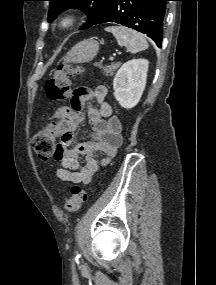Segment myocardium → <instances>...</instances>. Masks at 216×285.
Returning <instances> with one entry per match:
<instances>
[{"mask_svg":"<svg viewBox=\"0 0 216 285\" xmlns=\"http://www.w3.org/2000/svg\"><path fill=\"white\" fill-rule=\"evenodd\" d=\"M77 15L72 11L61 14L54 22V29L59 33L68 32L77 23Z\"/></svg>","mask_w":216,"mask_h":285,"instance_id":"f54148a6","label":"myocardium"}]
</instances>
